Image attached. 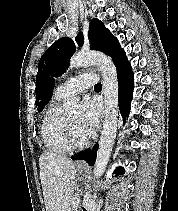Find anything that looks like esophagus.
Wrapping results in <instances>:
<instances>
[{"label": "esophagus", "mask_w": 178, "mask_h": 211, "mask_svg": "<svg viewBox=\"0 0 178 211\" xmlns=\"http://www.w3.org/2000/svg\"><path fill=\"white\" fill-rule=\"evenodd\" d=\"M76 165H77L78 168H84V167L88 166L87 163L84 160L78 161Z\"/></svg>", "instance_id": "1"}]
</instances>
